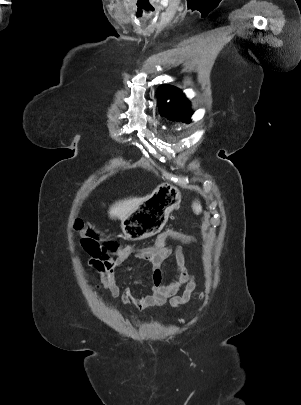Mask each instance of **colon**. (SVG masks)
<instances>
[{
	"label": "colon",
	"mask_w": 301,
	"mask_h": 405,
	"mask_svg": "<svg viewBox=\"0 0 301 405\" xmlns=\"http://www.w3.org/2000/svg\"><path fill=\"white\" fill-rule=\"evenodd\" d=\"M74 229L82 236V247L92 256L109 261L112 258L108 256V253L113 255L119 254L120 250L118 244L110 239L103 238L94 225L85 226L84 223L79 220L75 222ZM175 229L176 226L174 224H165L162 233L166 236H172L175 243L182 241L186 246L196 241L194 236H187L184 233L175 231ZM162 233L158 232L157 236L161 237Z\"/></svg>",
	"instance_id": "1"
}]
</instances>
